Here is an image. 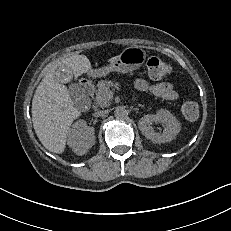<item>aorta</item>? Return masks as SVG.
Segmentation results:
<instances>
[{
    "label": "aorta",
    "instance_id": "aorta-1",
    "mask_svg": "<svg viewBox=\"0 0 231 231\" xmlns=\"http://www.w3.org/2000/svg\"><path fill=\"white\" fill-rule=\"evenodd\" d=\"M114 115L117 119H123L127 116V110L122 106H118L114 111Z\"/></svg>",
    "mask_w": 231,
    "mask_h": 231
}]
</instances>
